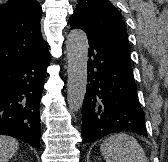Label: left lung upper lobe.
<instances>
[{"label":"left lung upper lobe","mask_w":168,"mask_h":162,"mask_svg":"<svg viewBox=\"0 0 168 162\" xmlns=\"http://www.w3.org/2000/svg\"><path fill=\"white\" fill-rule=\"evenodd\" d=\"M71 27L80 25L87 32L112 47L130 55L127 31L120 12L108 0H78Z\"/></svg>","instance_id":"5c2ea615"}]
</instances>
